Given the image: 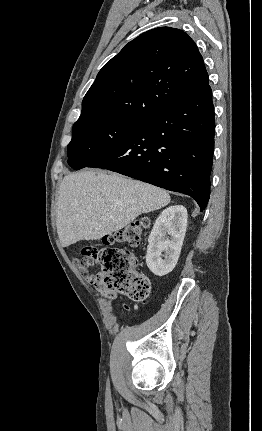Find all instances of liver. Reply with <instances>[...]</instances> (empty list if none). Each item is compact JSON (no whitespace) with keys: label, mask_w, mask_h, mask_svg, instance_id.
Instances as JSON below:
<instances>
[{"label":"liver","mask_w":262,"mask_h":431,"mask_svg":"<svg viewBox=\"0 0 262 431\" xmlns=\"http://www.w3.org/2000/svg\"><path fill=\"white\" fill-rule=\"evenodd\" d=\"M158 187L116 173L85 170L65 176L57 199L56 225L63 247L117 232L143 213L167 206Z\"/></svg>","instance_id":"liver-1"}]
</instances>
